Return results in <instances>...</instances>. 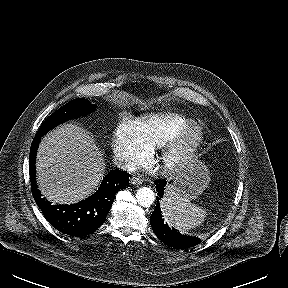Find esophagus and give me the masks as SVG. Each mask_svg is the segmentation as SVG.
I'll use <instances>...</instances> for the list:
<instances>
[{
  "label": "esophagus",
  "mask_w": 288,
  "mask_h": 288,
  "mask_svg": "<svg viewBox=\"0 0 288 288\" xmlns=\"http://www.w3.org/2000/svg\"><path fill=\"white\" fill-rule=\"evenodd\" d=\"M142 182H143V180L140 177H136V176L132 177L130 180V183L132 185H140V184H142Z\"/></svg>",
  "instance_id": "1"
}]
</instances>
